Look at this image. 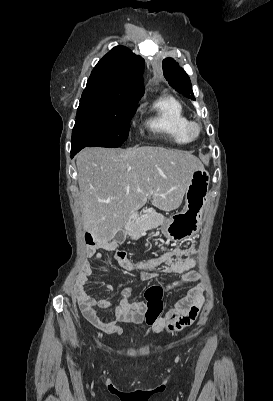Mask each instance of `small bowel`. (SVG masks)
<instances>
[{
  "label": "small bowel",
  "instance_id": "small-bowel-1",
  "mask_svg": "<svg viewBox=\"0 0 273 401\" xmlns=\"http://www.w3.org/2000/svg\"><path fill=\"white\" fill-rule=\"evenodd\" d=\"M90 245H94L96 250L93 259L84 264L82 271H90L91 274L98 271L103 254L111 252L116 264L125 272L134 274L139 280H158L160 276L155 272L157 268H162L165 273L179 274V279L164 282L167 292H173L196 283L182 299L176 302L173 309L151 326L150 334L178 332L195 321L205 302V285L200 274L192 269L195 259L193 247L177 246L170 252L134 262L129 259L125 250L118 248L115 241ZM104 287L109 293L105 298H96L94 290H82L76 298L84 317L91 324L106 334L119 336L122 334L120 323L142 324L145 322L146 303L130 300L133 292L132 285L128 284L121 289L118 302L114 301L117 296L114 286L105 284ZM99 310L111 312L114 318L111 320L103 318Z\"/></svg>",
  "mask_w": 273,
  "mask_h": 401
}]
</instances>
